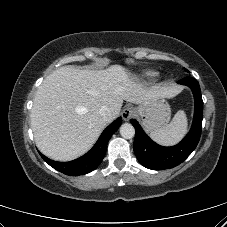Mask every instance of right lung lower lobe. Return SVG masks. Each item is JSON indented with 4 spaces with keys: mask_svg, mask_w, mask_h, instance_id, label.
I'll list each match as a JSON object with an SVG mask.
<instances>
[{
    "mask_svg": "<svg viewBox=\"0 0 227 227\" xmlns=\"http://www.w3.org/2000/svg\"><path fill=\"white\" fill-rule=\"evenodd\" d=\"M121 117L110 124L101 134L94 147L82 157L70 162H57L40 154L45 162L61 173L70 176L87 174L98 167L105 156L109 139L121 125Z\"/></svg>",
    "mask_w": 227,
    "mask_h": 227,
    "instance_id": "obj_1",
    "label": "right lung lower lobe"
}]
</instances>
